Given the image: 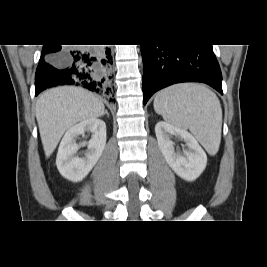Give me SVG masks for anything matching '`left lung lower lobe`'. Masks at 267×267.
<instances>
[{"mask_svg":"<svg viewBox=\"0 0 267 267\" xmlns=\"http://www.w3.org/2000/svg\"><path fill=\"white\" fill-rule=\"evenodd\" d=\"M143 103L158 90L181 82H203L222 92V75L212 45H141Z\"/></svg>","mask_w":267,"mask_h":267,"instance_id":"0a47b994","label":"left lung lower lobe"}]
</instances>
